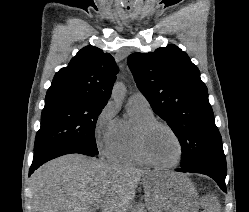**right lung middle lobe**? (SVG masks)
<instances>
[{"instance_id":"1","label":"right lung middle lobe","mask_w":249,"mask_h":212,"mask_svg":"<svg viewBox=\"0 0 249 212\" xmlns=\"http://www.w3.org/2000/svg\"><path fill=\"white\" fill-rule=\"evenodd\" d=\"M104 106L78 97L45 99L34 152L50 146L72 144L79 146L84 155H98L95 126Z\"/></svg>"}]
</instances>
